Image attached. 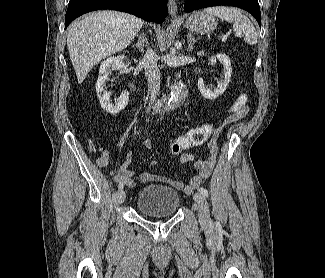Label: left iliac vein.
Listing matches in <instances>:
<instances>
[{"instance_id": "obj_1", "label": "left iliac vein", "mask_w": 325, "mask_h": 278, "mask_svg": "<svg viewBox=\"0 0 325 278\" xmlns=\"http://www.w3.org/2000/svg\"><path fill=\"white\" fill-rule=\"evenodd\" d=\"M193 198L198 206L199 221L202 224L210 223L209 206L205 196L197 192L194 194Z\"/></svg>"}]
</instances>
